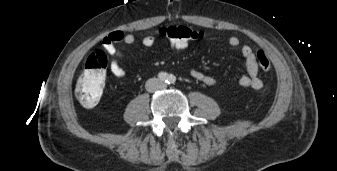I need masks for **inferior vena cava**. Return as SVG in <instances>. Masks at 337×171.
Here are the masks:
<instances>
[{"label": "inferior vena cava", "mask_w": 337, "mask_h": 171, "mask_svg": "<svg viewBox=\"0 0 337 171\" xmlns=\"http://www.w3.org/2000/svg\"><path fill=\"white\" fill-rule=\"evenodd\" d=\"M146 90L148 92H155L163 87V84L157 78L148 79L146 82Z\"/></svg>", "instance_id": "602c4592"}]
</instances>
